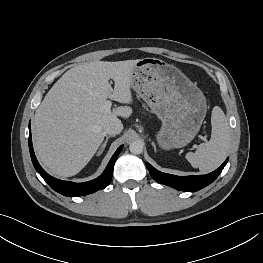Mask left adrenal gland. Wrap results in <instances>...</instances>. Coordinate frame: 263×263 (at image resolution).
Masks as SVG:
<instances>
[{
  "label": "left adrenal gland",
  "instance_id": "a2214340",
  "mask_svg": "<svg viewBox=\"0 0 263 263\" xmlns=\"http://www.w3.org/2000/svg\"><path fill=\"white\" fill-rule=\"evenodd\" d=\"M152 146H153L154 150L156 151V145L154 142H152Z\"/></svg>",
  "mask_w": 263,
  "mask_h": 263
}]
</instances>
